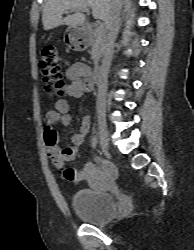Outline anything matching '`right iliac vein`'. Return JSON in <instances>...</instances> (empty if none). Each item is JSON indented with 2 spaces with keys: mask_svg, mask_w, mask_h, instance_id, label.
I'll return each instance as SVG.
<instances>
[{
  "mask_svg": "<svg viewBox=\"0 0 194 250\" xmlns=\"http://www.w3.org/2000/svg\"><path fill=\"white\" fill-rule=\"evenodd\" d=\"M98 136L100 140L101 147L104 152L109 150V135L107 130V125L104 118L98 119Z\"/></svg>",
  "mask_w": 194,
  "mask_h": 250,
  "instance_id": "right-iliac-vein-1",
  "label": "right iliac vein"
}]
</instances>
